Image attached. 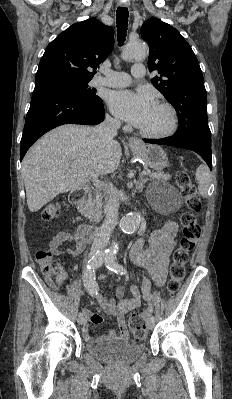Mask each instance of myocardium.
Returning a JSON list of instances; mask_svg holds the SVG:
<instances>
[{
    "instance_id": "myocardium-1",
    "label": "myocardium",
    "mask_w": 232,
    "mask_h": 399,
    "mask_svg": "<svg viewBox=\"0 0 232 399\" xmlns=\"http://www.w3.org/2000/svg\"><path fill=\"white\" fill-rule=\"evenodd\" d=\"M155 104L159 105L167 110V112L170 116V124H169L168 128L160 133H157V134H148V133H144L137 129V134L143 139L156 141V140L166 139V138L172 136L176 132V130L178 128V115H177V111L174 108V106L167 102L156 101Z\"/></svg>"
}]
</instances>
